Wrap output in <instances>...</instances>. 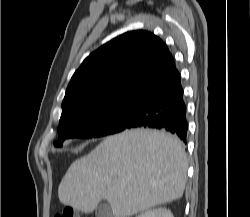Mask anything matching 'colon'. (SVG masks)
Instances as JSON below:
<instances>
[{"mask_svg":"<svg viewBox=\"0 0 250 217\" xmlns=\"http://www.w3.org/2000/svg\"><path fill=\"white\" fill-rule=\"evenodd\" d=\"M55 217H80V215L73 208H67L62 213L55 215Z\"/></svg>","mask_w":250,"mask_h":217,"instance_id":"5ec220e1","label":"colon"}]
</instances>
